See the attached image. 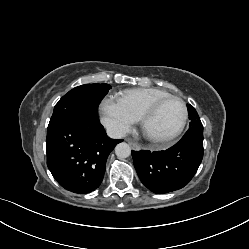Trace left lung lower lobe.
Masks as SVG:
<instances>
[{
  "label": "left lung lower lobe",
  "mask_w": 249,
  "mask_h": 249,
  "mask_svg": "<svg viewBox=\"0 0 249 249\" xmlns=\"http://www.w3.org/2000/svg\"><path fill=\"white\" fill-rule=\"evenodd\" d=\"M141 182L154 193L184 187L195 175L203 158V130L188 129L181 140L165 151H132Z\"/></svg>",
  "instance_id": "1"
}]
</instances>
